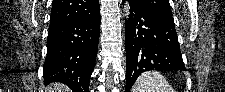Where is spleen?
<instances>
[{
  "mask_svg": "<svg viewBox=\"0 0 225 92\" xmlns=\"http://www.w3.org/2000/svg\"><path fill=\"white\" fill-rule=\"evenodd\" d=\"M131 92H174V89L159 72L148 71L139 76Z\"/></svg>",
  "mask_w": 225,
  "mask_h": 92,
  "instance_id": "1",
  "label": "spleen"
}]
</instances>
